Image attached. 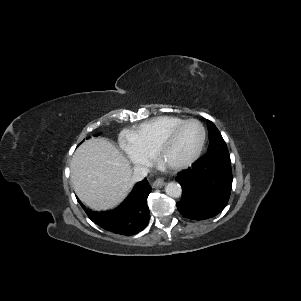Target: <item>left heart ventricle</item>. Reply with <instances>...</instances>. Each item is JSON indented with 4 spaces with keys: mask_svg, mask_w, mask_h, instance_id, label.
I'll return each instance as SVG.
<instances>
[{
    "mask_svg": "<svg viewBox=\"0 0 301 301\" xmlns=\"http://www.w3.org/2000/svg\"><path fill=\"white\" fill-rule=\"evenodd\" d=\"M201 135V128L198 124H186L167 146L165 161L178 163L188 159L196 151Z\"/></svg>",
    "mask_w": 301,
    "mask_h": 301,
    "instance_id": "b2bd125f",
    "label": "left heart ventricle"
}]
</instances>
